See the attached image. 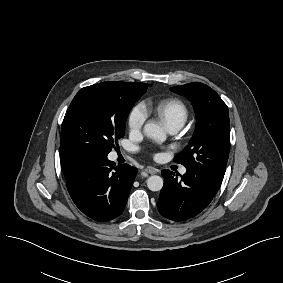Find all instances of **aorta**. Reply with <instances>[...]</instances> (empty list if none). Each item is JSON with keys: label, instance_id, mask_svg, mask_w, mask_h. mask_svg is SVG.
Masks as SVG:
<instances>
[{"label": "aorta", "instance_id": "762f6f07", "mask_svg": "<svg viewBox=\"0 0 283 283\" xmlns=\"http://www.w3.org/2000/svg\"><path fill=\"white\" fill-rule=\"evenodd\" d=\"M145 135L155 140L156 142L162 143L166 140V133L162 127L154 122L146 123L144 126ZM147 187L151 191H160L163 187V179L160 176L153 175L147 179Z\"/></svg>", "mask_w": 283, "mask_h": 283}]
</instances>
